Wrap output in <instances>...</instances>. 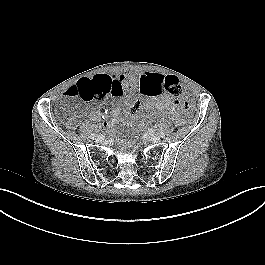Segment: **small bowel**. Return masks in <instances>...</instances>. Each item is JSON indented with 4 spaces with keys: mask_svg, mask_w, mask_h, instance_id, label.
Returning <instances> with one entry per match:
<instances>
[{
    "mask_svg": "<svg viewBox=\"0 0 265 265\" xmlns=\"http://www.w3.org/2000/svg\"><path fill=\"white\" fill-rule=\"evenodd\" d=\"M165 74L157 71H147L139 75H108L97 74L90 78H83L87 80L106 79L110 94L114 97H126L127 103H132L133 97L143 96L145 101H141V108L145 112L153 109H165L170 112L176 111V104L172 102L165 94L162 88ZM121 115V109L115 107L111 112V119L102 123V126L108 129L113 128ZM94 121H99L101 115L94 112L91 115Z\"/></svg>",
    "mask_w": 265,
    "mask_h": 265,
    "instance_id": "small-bowel-1",
    "label": "small bowel"
}]
</instances>
